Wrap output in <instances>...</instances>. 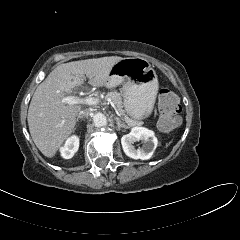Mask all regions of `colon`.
Returning <instances> with one entry per match:
<instances>
[{
    "instance_id": "obj_1",
    "label": "colon",
    "mask_w": 240,
    "mask_h": 240,
    "mask_svg": "<svg viewBox=\"0 0 240 240\" xmlns=\"http://www.w3.org/2000/svg\"><path fill=\"white\" fill-rule=\"evenodd\" d=\"M159 126L167 131L180 123V105L175 93L166 85H163L159 92Z\"/></svg>"
}]
</instances>
